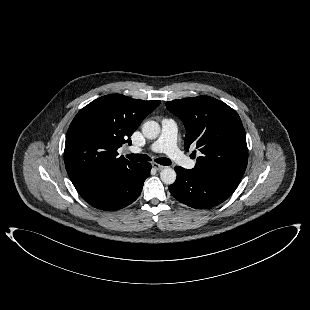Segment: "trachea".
<instances>
[{
    "label": "trachea",
    "instance_id": "3493384b",
    "mask_svg": "<svg viewBox=\"0 0 310 310\" xmlns=\"http://www.w3.org/2000/svg\"><path fill=\"white\" fill-rule=\"evenodd\" d=\"M129 160L131 161H136V162H144V161H150L151 158L146 155V154H129L126 156ZM155 161L158 164L164 165V166H168L171 164V160L165 157L162 158H157L155 159Z\"/></svg>",
    "mask_w": 310,
    "mask_h": 310
}]
</instances>
